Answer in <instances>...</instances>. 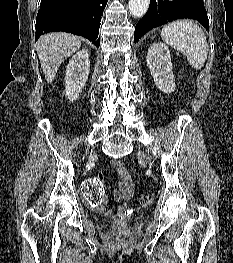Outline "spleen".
I'll use <instances>...</instances> for the list:
<instances>
[{
  "instance_id": "obj_1",
  "label": "spleen",
  "mask_w": 233,
  "mask_h": 263,
  "mask_svg": "<svg viewBox=\"0 0 233 263\" xmlns=\"http://www.w3.org/2000/svg\"><path fill=\"white\" fill-rule=\"evenodd\" d=\"M162 40L180 51L192 68L204 66L208 55V43L203 30L190 20H178L165 25L161 31Z\"/></svg>"
}]
</instances>
